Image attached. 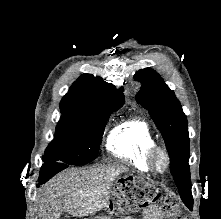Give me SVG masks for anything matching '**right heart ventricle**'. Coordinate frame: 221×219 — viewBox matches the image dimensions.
Here are the masks:
<instances>
[{"mask_svg":"<svg viewBox=\"0 0 221 219\" xmlns=\"http://www.w3.org/2000/svg\"><path fill=\"white\" fill-rule=\"evenodd\" d=\"M156 144L150 124L143 118L129 119L115 129L107 138V150L116 158L126 161L136 169L148 172L146 160L148 149Z\"/></svg>","mask_w":221,"mask_h":219,"instance_id":"right-heart-ventricle-1","label":"right heart ventricle"}]
</instances>
